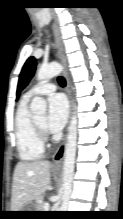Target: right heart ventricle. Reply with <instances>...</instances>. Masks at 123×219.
Masks as SVG:
<instances>
[{
    "label": "right heart ventricle",
    "instance_id": "right-heart-ventricle-1",
    "mask_svg": "<svg viewBox=\"0 0 123 219\" xmlns=\"http://www.w3.org/2000/svg\"><path fill=\"white\" fill-rule=\"evenodd\" d=\"M25 98L22 100L15 118V139L18 155L26 162L36 161L43 156L44 143L30 116Z\"/></svg>",
    "mask_w": 123,
    "mask_h": 219
}]
</instances>
